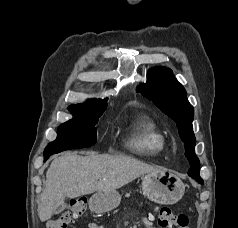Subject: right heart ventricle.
<instances>
[{"label":"right heart ventricle","instance_id":"obj_1","mask_svg":"<svg viewBox=\"0 0 238 228\" xmlns=\"http://www.w3.org/2000/svg\"><path fill=\"white\" fill-rule=\"evenodd\" d=\"M126 144L137 154L157 155L165 149L166 139L158 122L143 114L131 122Z\"/></svg>","mask_w":238,"mask_h":228}]
</instances>
